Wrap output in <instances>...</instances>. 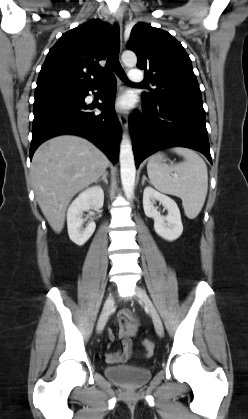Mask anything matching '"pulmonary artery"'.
Returning <instances> with one entry per match:
<instances>
[{"label":"pulmonary artery","instance_id":"obj_1","mask_svg":"<svg viewBox=\"0 0 248 419\" xmlns=\"http://www.w3.org/2000/svg\"><path fill=\"white\" fill-rule=\"evenodd\" d=\"M129 79L132 82L139 83L143 81L144 76L138 68H132L129 71Z\"/></svg>","mask_w":248,"mask_h":419}]
</instances>
